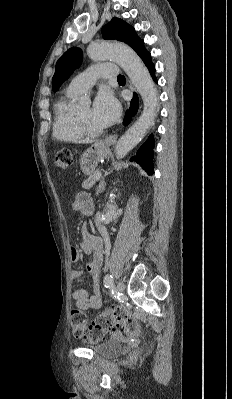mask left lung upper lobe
<instances>
[{"instance_id":"left-lung-upper-lobe-1","label":"left lung upper lobe","mask_w":232,"mask_h":399,"mask_svg":"<svg viewBox=\"0 0 232 399\" xmlns=\"http://www.w3.org/2000/svg\"><path fill=\"white\" fill-rule=\"evenodd\" d=\"M103 38L118 40L131 46L135 51L140 49L144 42L135 33L133 27L119 18H113L102 28ZM82 63V51L73 47L67 50L57 61L55 73L52 78V89L56 91L62 83Z\"/></svg>"}]
</instances>
